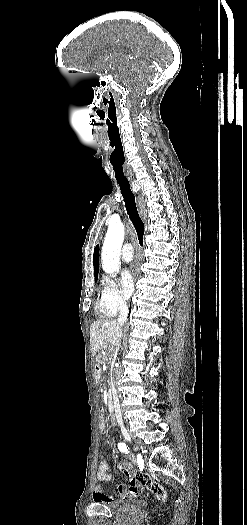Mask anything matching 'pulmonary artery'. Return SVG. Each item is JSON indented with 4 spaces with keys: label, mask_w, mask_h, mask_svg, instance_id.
<instances>
[{
    "label": "pulmonary artery",
    "mask_w": 247,
    "mask_h": 525,
    "mask_svg": "<svg viewBox=\"0 0 247 525\" xmlns=\"http://www.w3.org/2000/svg\"><path fill=\"white\" fill-rule=\"evenodd\" d=\"M122 254L123 255L121 256V261L123 263H128L130 261V257H132L134 254V251L131 248V244L126 243L123 245Z\"/></svg>",
    "instance_id": "obj_1"
}]
</instances>
